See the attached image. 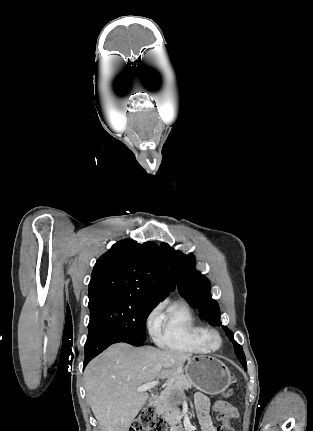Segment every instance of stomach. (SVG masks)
<instances>
[{"instance_id":"stomach-1","label":"stomach","mask_w":313,"mask_h":431,"mask_svg":"<svg viewBox=\"0 0 313 431\" xmlns=\"http://www.w3.org/2000/svg\"><path fill=\"white\" fill-rule=\"evenodd\" d=\"M185 375L200 391L216 395L224 392L232 383L233 377L227 366L217 358L197 355L190 358L185 366ZM182 394L176 398L181 400Z\"/></svg>"}]
</instances>
